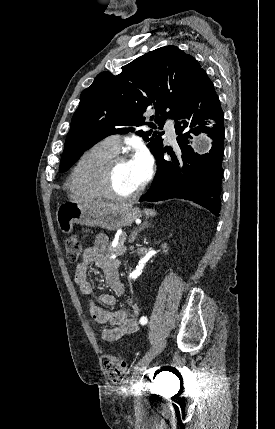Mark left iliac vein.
<instances>
[{
	"label": "left iliac vein",
	"mask_w": 275,
	"mask_h": 429,
	"mask_svg": "<svg viewBox=\"0 0 275 429\" xmlns=\"http://www.w3.org/2000/svg\"><path fill=\"white\" fill-rule=\"evenodd\" d=\"M160 352V348L157 345H153L149 351L143 356V358L138 362L135 370V376L139 377L147 369L149 363L155 358V356Z\"/></svg>",
	"instance_id": "4c4485c4"
}]
</instances>
